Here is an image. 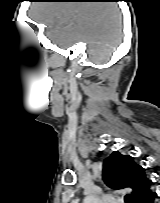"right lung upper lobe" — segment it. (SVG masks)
Listing matches in <instances>:
<instances>
[{
  "instance_id": "right-lung-upper-lobe-1",
  "label": "right lung upper lobe",
  "mask_w": 160,
  "mask_h": 203,
  "mask_svg": "<svg viewBox=\"0 0 160 203\" xmlns=\"http://www.w3.org/2000/svg\"><path fill=\"white\" fill-rule=\"evenodd\" d=\"M103 180L112 189H130L133 203H142L154 184L134 158L114 151L103 163Z\"/></svg>"
}]
</instances>
